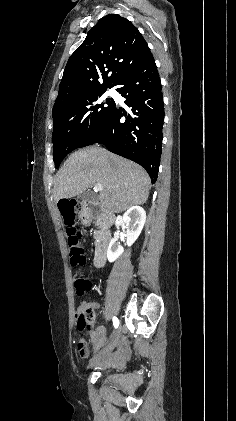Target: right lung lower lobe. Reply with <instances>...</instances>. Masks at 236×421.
Returning a JSON list of instances; mask_svg holds the SVG:
<instances>
[{"mask_svg":"<svg viewBox=\"0 0 236 421\" xmlns=\"http://www.w3.org/2000/svg\"><path fill=\"white\" fill-rule=\"evenodd\" d=\"M114 86L131 110L126 113L115 103L103 124L78 148L105 144L109 151L144 167L154 183L160 165L164 104L153 56L131 67Z\"/></svg>","mask_w":236,"mask_h":421,"instance_id":"obj_1","label":"right lung lower lobe"}]
</instances>
